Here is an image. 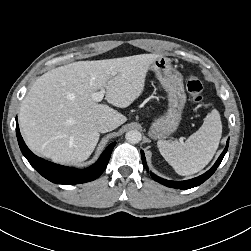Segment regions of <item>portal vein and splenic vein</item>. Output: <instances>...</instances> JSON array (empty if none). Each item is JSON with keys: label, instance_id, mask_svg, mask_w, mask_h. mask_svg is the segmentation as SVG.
<instances>
[{"label": "portal vein and splenic vein", "instance_id": "portal-vein-and-splenic-vein-1", "mask_svg": "<svg viewBox=\"0 0 251 251\" xmlns=\"http://www.w3.org/2000/svg\"><path fill=\"white\" fill-rule=\"evenodd\" d=\"M104 94H105V90H104V89H101V90L98 91V92H94V93L92 94V98H93L94 101L100 102V101L103 100Z\"/></svg>", "mask_w": 251, "mask_h": 251}]
</instances>
